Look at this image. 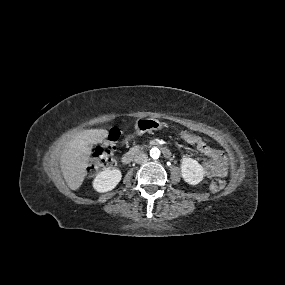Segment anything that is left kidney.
<instances>
[{
    "instance_id": "left-kidney-1",
    "label": "left kidney",
    "mask_w": 285,
    "mask_h": 285,
    "mask_svg": "<svg viewBox=\"0 0 285 285\" xmlns=\"http://www.w3.org/2000/svg\"><path fill=\"white\" fill-rule=\"evenodd\" d=\"M181 175L191 185L200 183L205 175L203 167L192 158H184L181 162Z\"/></svg>"
}]
</instances>
